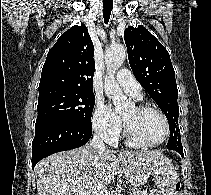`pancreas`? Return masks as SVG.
Returning a JSON list of instances; mask_svg holds the SVG:
<instances>
[{"label": "pancreas", "instance_id": "1", "mask_svg": "<svg viewBox=\"0 0 211 195\" xmlns=\"http://www.w3.org/2000/svg\"><path fill=\"white\" fill-rule=\"evenodd\" d=\"M130 195H148L147 192L145 191H140V190H135L132 194Z\"/></svg>", "mask_w": 211, "mask_h": 195}]
</instances>
